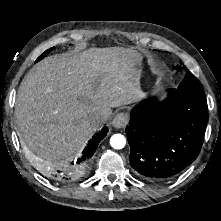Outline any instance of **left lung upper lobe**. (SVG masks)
<instances>
[{
    "label": "left lung upper lobe",
    "instance_id": "1",
    "mask_svg": "<svg viewBox=\"0 0 221 221\" xmlns=\"http://www.w3.org/2000/svg\"><path fill=\"white\" fill-rule=\"evenodd\" d=\"M180 92L196 96V97H205L204 90L195 76L190 72L187 71L183 81L177 88Z\"/></svg>",
    "mask_w": 221,
    "mask_h": 221
}]
</instances>
